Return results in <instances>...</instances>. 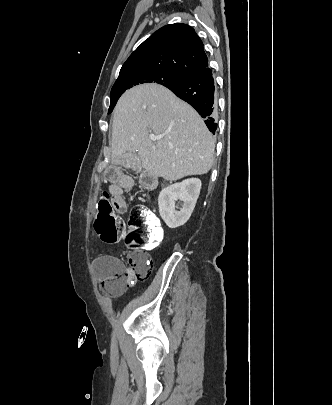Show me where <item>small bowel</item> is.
Segmentation results:
<instances>
[{
  "label": "small bowel",
  "instance_id": "small-bowel-1",
  "mask_svg": "<svg viewBox=\"0 0 332 405\" xmlns=\"http://www.w3.org/2000/svg\"><path fill=\"white\" fill-rule=\"evenodd\" d=\"M122 162H109L108 168H104L102 178L103 186H111L109 205L113 206L115 215H127L128 208L124 201L123 188H128L131 178L124 175ZM93 266L100 278L106 280L117 272L125 271L121 261L111 255H101L93 259Z\"/></svg>",
  "mask_w": 332,
  "mask_h": 405
}]
</instances>
